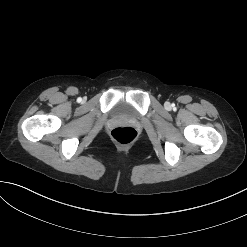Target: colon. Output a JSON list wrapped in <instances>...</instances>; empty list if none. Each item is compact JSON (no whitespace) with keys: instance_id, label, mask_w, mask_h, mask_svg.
<instances>
[{"instance_id":"5ec220e1","label":"colon","mask_w":247,"mask_h":247,"mask_svg":"<svg viewBox=\"0 0 247 247\" xmlns=\"http://www.w3.org/2000/svg\"><path fill=\"white\" fill-rule=\"evenodd\" d=\"M111 137L120 144H129L137 138V131L132 127H117L111 131Z\"/></svg>"}]
</instances>
